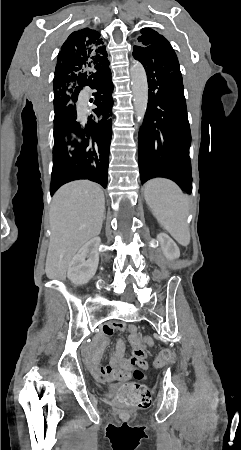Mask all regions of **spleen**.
Here are the masks:
<instances>
[{"label": "spleen", "mask_w": 241, "mask_h": 450, "mask_svg": "<svg viewBox=\"0 0 241 450\" xmlns=\"http://www.w3.org/2000/svg\"><path fill=\"white\" fill-rule=\"evenodd\" d=\"M145 200L157 222L171 234L172 238L188 246L190 232L186 222L189 204L187 194H183L177 184L165 178L149 180L144 186Z\"/></svg>", "instance_id": "3e777b00"}]
</instances>
